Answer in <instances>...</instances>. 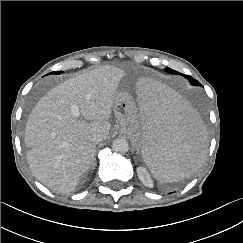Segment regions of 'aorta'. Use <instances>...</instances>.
Here are the masks:
<instances>
[{
    "instance_id": "1",
    "label": "aorta",
    "mask_w": 243,
    "mask_h": 243,
    "mask_svg": "<svg viewBox=\"0 0 243 243\" xmlns=\"http://www.w3.org/2000/svg\"><path fill=\"white\" fill-rule=\"evenodd\" d=\"M112 149L115 152L126 153L129 150L128 142L123 138L115 139L112 143Z\"/></svg>"
}]
</instances>
